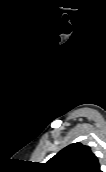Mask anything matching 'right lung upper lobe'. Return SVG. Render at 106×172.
<instances>
[{
  "instance_id": "1",
  "label": "right lung upper lobe",
  "mask_w": 106,
  "mask_h": 172,
  "mask_svg": "<svg viewBox=\"0 0 106 172\" xmlns=\"http://www.w3.org/2000/svg\"><path fill=\"white\" fill-rule=\"evenodd\" d=\"M45 168L48 172H102L90 147L79 142L58 152L45 164Z\"/></svg>"
}]
</instances>
